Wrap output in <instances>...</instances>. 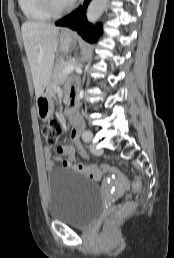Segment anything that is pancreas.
I'll return each mask as SVG.
<instances>
[{
	"instance_id": "obj_1",
	"label": "pancreas",
	"mask_w": 174,
	"mask_h": 258,
	"mask_svg": "<svg viewBox=\"0 0 174 258\" xmlns=\"http://www.w3.org/2000/svg\"><path fill=\"white\" fill-rule=\"evenodd\" d=\"M72 62H67V61H59L53 71L52 75V89L55 91V87L58 83H62L66 78L67 74L62 73V70L68 66L71 65Z\"/></svg>"
}]
</instances>
